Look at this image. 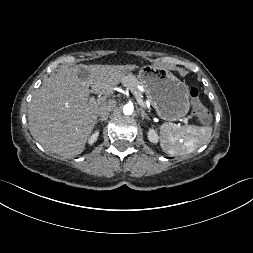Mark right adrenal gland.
Instances as JSON below:
<instances>
[{"instance_id":"1","label":"right adrenal gland","mask_w":253,"mask_h":253,"mask_svg":"<svg viewBox=\"0 0 253 253\" xmlns=\"http://www.w3.org/2000/svg\"><path fill=\"white\" fill-rule=\"evenodd\" d=\"M107 119H108V116H106V117H103V118H99L97 121H96V123H98L99 121H107Z\"/></svg>"}]
</instances>
